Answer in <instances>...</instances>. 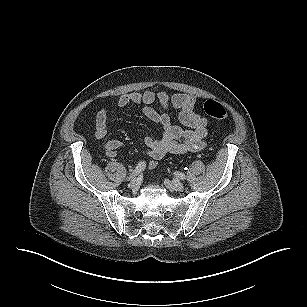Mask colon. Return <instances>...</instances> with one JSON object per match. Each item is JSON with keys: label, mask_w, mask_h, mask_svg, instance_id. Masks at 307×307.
I'll return each mask as SVG.
<instances>
[{"label": "colon", "mask_w": 307, "mask_h": 307, "mask_svg": "<svg viewBox=\"0 0 307 307\" xmlns=\"http://www.w3.org/2000/svg\"><path fill=\"white\" fill-rule=\"evenodd\" d=\"M204 112L214 120L220 121L227 117V111L219 102L207 100L203 106Z\"/></svg>", "instance_id": "obj_1"}]
</instances>
